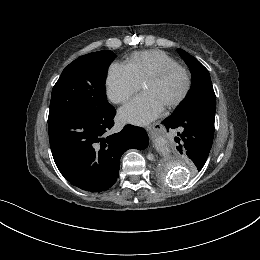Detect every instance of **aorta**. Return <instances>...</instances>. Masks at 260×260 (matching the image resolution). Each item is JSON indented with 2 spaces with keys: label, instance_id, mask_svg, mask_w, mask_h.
Here are the masks:
<instances>
[{
  "label": "aorta",
  "instance_id": "aorta-1",
  "mask_svg": "<svg viewBox=\"0 0 260 260\" xmlns=\"http://www.w3.org/2000/svg\"><path fill=\"white\" fill-rule=\"evenodd\" d=\"M156 147L167 145L165 138L160 137L154 140ZM170 170L166 174V180L171 184H180L189 179L190 172L186 167L185 160L178 153H174L171 157Z\"/></svg>",
  "mask_w": 260,
  "mask_h": 260
}]
</instances>
